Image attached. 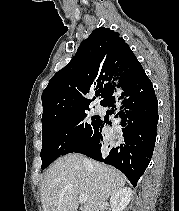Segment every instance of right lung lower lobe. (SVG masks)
I'll return each mask as SVG.
<instances>
[{
    "mask_svg": "<svg viewBox=\"0 0 179 211\" xmlns=\"http://www.w3.org/2000/svg\"><path fill=\"white\" fill-rule=\"evenodd\" d=\"M121 99L118 115L122 119L124 141L108 152L101 151L102 128L108 122L100 120L92 136L73 152L116 167L136 186L152 157L158 123L157 98L144 70L123 87ZM114 101L115 98L111 97L103 105L112 107L111 114L116 109Z\"/></svg>",
    "mask_w": 179,
    "mask_h": 211,
    "instance_id": "obj_1",
    "label": "right lung lower lobe"
}]
</instances>
